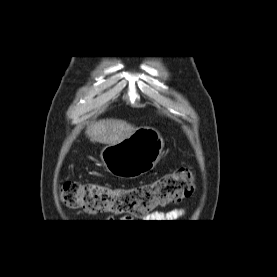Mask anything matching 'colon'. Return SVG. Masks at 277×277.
Listing matches in <instances>:
<instances>
[{"mask_svg": "<svg viewBox=\"0 0 277 277\" xmlns=\"http://www.w3.org/2000/svg\"><path fill=\"white\" fill-rule=\"evenodd\" d=\"M194 188L193 172L184 167L155 181L127 188L67 181L61 186L60 198L66 206L89 213L144 216L159 206L187 198Z\"/></svg>", "mask_w": 277, "mask_h": 277, "instance_id": "5ec220e1", "label": "colon"}]
</instances>
